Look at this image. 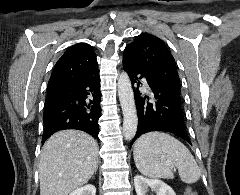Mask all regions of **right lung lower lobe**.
Returning a JSON list of instances; mask_svg holds the SVG:
<instances>
[{
    "mask_svg": "<svg viewBox=\"0 0 240 195\" xmlns=\"http://www.w3.org/2000/svg\"><path fill=\"white\" fill-rule=\"evenodd\" d=\"M100 102L99 73L79 83L48 86L42 143L64 129L82 130L99 140Z\"/></svg>",
    "mask_w": 240,
    "mask_h": 195,
    "instance_id": "obj_1",
    "label": "right lung lower lobe"
}]
</instances>
